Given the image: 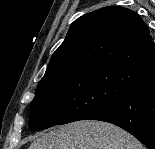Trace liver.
<instances>
[{
  "label": "liver",
  "instance_id": "6515ba94",
  "mask_svg": "<svg viewBox=\"0 0 155 149\" xmlns=\"http://www.w3.org/2000/svg\"><path fill=\"white\" fill-rule=\"evenodd\" d=\"M29 149H145L130 133L102 121H76L36 138Z\"/></svg>",
  "mask_w": 155,
  "mask_h": 149
}]
</instances>
